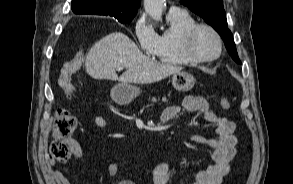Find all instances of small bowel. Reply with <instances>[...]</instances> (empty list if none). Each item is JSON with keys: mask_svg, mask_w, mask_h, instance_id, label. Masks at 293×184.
Masks as SVG:
<instances>
[{"mask_svg": "<svg viewBox=\"0 0 293 184\" xmlns=\"http://www.w3.org/2000/svg\"><path fill=\"white\" fill-rule=\"evenodd\" d=\"M201 112L208 123L214 126L215 136L207 138L194 134L188 137L191 142L205 145L212 150L214 164L207 169L199 171L190 184H222L223 178L230 170V162L236 155L237 138L234 135L235 123L225 117L214 113L207 102L201 96H187L180 105L167 107L162 113V120L168 122L181 114ZM94 122L99 127L107 126V121L97 116ZM73 158L78 161L81 158V150L73 144ZM54 164L51 161L50 165ZM120 163L114 162L106 167V172L114 180L112 184H136L131 180L117 178L120 172ZM49 175L55 184H71L70 180L59 170L51 169ZM154 184H174L169 176V165L165 160H160L153 170Z\"/></svg>", "mask_w": 293, "mask_h": 184, "instance_id": "small-bowel-1", "label": "small bowel"}]
</instances>
